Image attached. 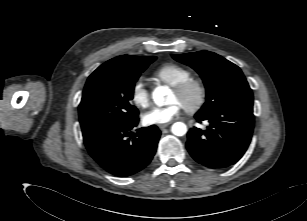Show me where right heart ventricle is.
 Instances as JSON below:
<instances>
[{
	"label": "right heart ventricle",
	"mask_w": 307,
	"mask_h": 221,
	"mask_svg": "<svg viewBox=\"0 0 307 221\" xmlns=\"http://www.w3.org/2000/svg\"><path fill=\"white\" fill-rule=\"evenodd\" d=\"M192 76V72L181 65L174 63H166L158 67L153 77L165 84L174 86Z\"/></svg>",
	"instance_id": "e07e8e85"
}]
</instances>
